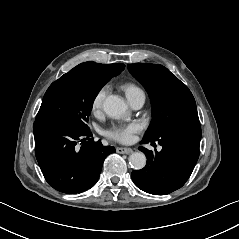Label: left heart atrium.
I'll list each match as a JSON object with an SVG mask.
<instances>
[{"label": "left heart atrium", "instance_id": "left-heart-atrium-1", "mask_svg": "<svg viewBox=\"0 0 239 239\" xmlns=\"http://www.w3.org/2000/svg\"><path fill=\"white\" fill-rule=\"evenodd\" d=\"M143 125L140 121L115 122L111 124L105 134L109 138L122 143H131L135 139V134L141 131Z\"/></svg>", "mask_w": 239, "mask_h": 239}]
</instances>
